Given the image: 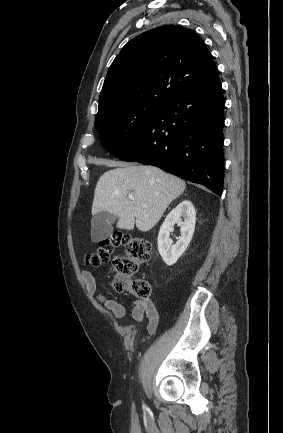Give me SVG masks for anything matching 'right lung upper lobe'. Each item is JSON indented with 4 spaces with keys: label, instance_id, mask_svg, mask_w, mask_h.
I'll return each mask as SVG.
<instances>
[{
    "label": "right lung upper lobe",
    "instance_id": "1",
    "mask_svg": "<svg viewBox=\"0 0 283 433\" xmlns=\"http://www.w3.org/2000/svg\"><path fill=\"white\" fill-rule=\"evenodd\" d=\"M218 78L204 42L191 30L165 25L130 40L111 64L98 113L132 103L165 105Z\"/></svg>",
    "mask_w": 283,
    "mask_h": 433
}]
</instances>
